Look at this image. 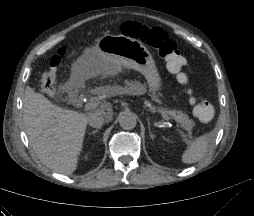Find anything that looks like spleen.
I'll list each match as a JSON object with an SVG mask.
<instances>
[{"mask_svg": "<svg viewBox=\"0 0 254 216\" xmlns=\"http://www.w3.org/2000/svg\"><path fill=\"white\" fill-rule=\"evenodd\" d=\"M211 136L204 134L192 140L187 149L182 154V162L192 164L200 161L206 154Z\"/></svg>", "mask_w": 254, "mask_h": 216, "instance_id": "1", "label": "spleen"}]
</instances>
